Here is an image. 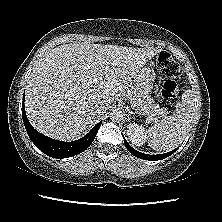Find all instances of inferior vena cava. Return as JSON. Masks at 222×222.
Listing matches in <instances>:
<instances>
[{
	"instance_id": "obj_1",
	"label": "inferior vena cava",
	"mask_w": 222,
	"mask_h": 222,
	"mask_svg": "<svg viewBox=\"0 0 222 222\" xmlns=\"http://www.w3.org/2000/svg\"><path fill=\"white\" fill-rule=\"evenodd\" d=\"M107 110V106L105 104H98L90 111L92 116H98L105 113Z\"/></svg>"
}]
</instances>
